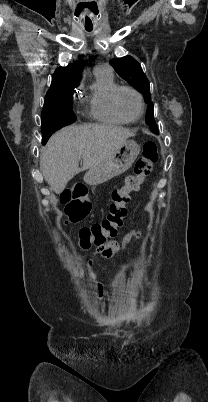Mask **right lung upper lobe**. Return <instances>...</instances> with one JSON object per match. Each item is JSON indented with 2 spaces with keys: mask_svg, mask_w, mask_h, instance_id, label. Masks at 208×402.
Wrapping results in <instances>:
<instances>
[{
  "mask_svg": "<svg viewBox=\"0 0 208 402\" xmlns=\"http://www.w3.org/2000/svg\"><path fill=\"white\" fill-rule=\"evenodd\" d=\"M81 80L80 67L78 64L66 67L56 68L51 86L46 94V96L51 95L56 92L67 91L74 89Z\"/></svg>",
  "mask_w": 208,
  "mask_h": 402,
  "instance_id": "cb5924a9",
  "label": "right lung upper lobe"
}]
</instances>
